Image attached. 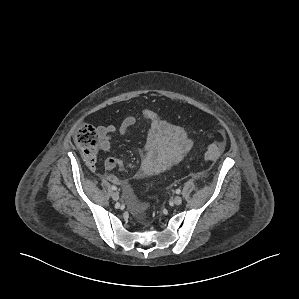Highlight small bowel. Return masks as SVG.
Instances as JSON below:
<instances>
[{
	"mask_svg": "<svg viewBox=\"0 0 299 299\" xmlns=\"http://www.w3.org/2000/svg\"><path fill=\"white\" fill-rule=\"evenodd\" d=\"M142 122L147 127L146 142L141 157V165L136 174L137 179L159 175L179 164L193 147V140L186 131L178 125L163 120L154 111L146 109L141 116ZM138 121L135 116L126 117L119 127L112 124L97 127L100 138V147L108 151L111 147V139L114 134H127L131 127ZM121 164L120 160L109 157L104 162L107 171L115 169ZM109 181L123 185L126 190L128 183L118 179L112 174L105 176ZM146 204L135 201L133 209L140 212Z\"/></svg>",
	"mask_w": 299,
	"mask_h": 299,
	"instance_id": "small-bowel-1",
	"label": "small bowel"
}]
</instances>
